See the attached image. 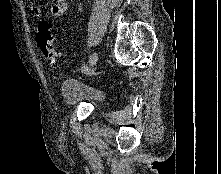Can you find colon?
Segmentation results:
<instances>
[{"label": "colon", "mask_w": 221, "mask_h": 174, "mask_svg": "<svg viewBox=\"0 0 221 174\" xmlns=\"http://www.w3.org/2000/svg\"><path fill=\"white\" fill-rule=\"evenodd\" d=\"M36 41L43 56L52 64H58L59 52L54 45L51 25L47 21L42 20L38 23Z\"/></svg>", "instance_id": "1"}]
</instances>
